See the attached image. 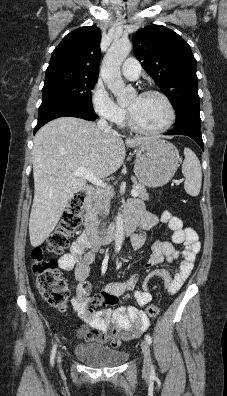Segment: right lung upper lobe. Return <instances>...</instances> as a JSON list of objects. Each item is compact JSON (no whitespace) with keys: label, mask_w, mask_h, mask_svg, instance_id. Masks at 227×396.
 <instances>
[{"label":"right lung upper lobe","mask_w":227,"mask_h":396,"mask_svg":"<svg viewBox=\"0 0 227 396\" xmlns=\"http://www.w3.org/2000/svg\"><path fill=\"white\" fill-rule=\"evenodd\" d=\"M101 33L97 26H84L66 35L52 53L46 72L67 71L98 76Z\"/></svg>","instance_id":"1"}]
</instances>
